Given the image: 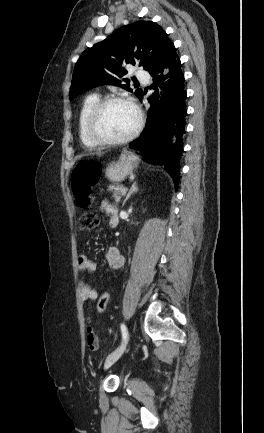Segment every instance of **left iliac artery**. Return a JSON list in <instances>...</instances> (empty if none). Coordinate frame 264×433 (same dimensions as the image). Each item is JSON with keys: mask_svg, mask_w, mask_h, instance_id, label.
<instances>
[{"mask_svg": "<svg viewBox=\"0 0 264 433\" xmlns=\"http://www.w3.org/2000/svg\"><path fill=\"white\" fill-rule=\"evenodd\" d=\"M121 332H122L123 339H125L126 334H127V329H126V326L124 324H121Z\"/></svg>", "mask_w": 264, "mask_h": 433, "instance_id": "obj_1", "label": "left iliac artery"}]
</instances>
